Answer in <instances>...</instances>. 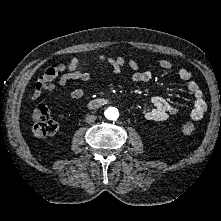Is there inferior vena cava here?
<instances>
[{"label":"inferior vena cava","instance_id":"602c4592","mask_svg":"<svg viewBox=\"0 0 221 221\" xmlns=\"http://www.w3.org/2000/svg\"><path fill=\"white\" fill-rule=\"evenodd\" d=\"M96 116L95 115H87L85 118V122L86 123H93L96 120Z\"/></svg>","mask_w":221,"mask_h":221}]
</instances>
